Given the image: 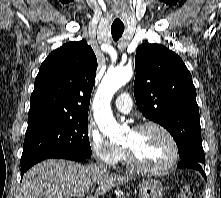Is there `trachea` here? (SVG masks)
Returning <instances> with one entry per match:
<instances>
[{
  "label": "trachea",
  "mask_w": 221,
  "mask_h": 198,
  "mask_svg": "<svg viewBox=\"0 0 221 198\" xmlns=\"http://www.w3.org/2000/svg\"><path fill=\"white\" fill-rule=\"evenodd\" d=\"M124 27H111V34L114 41H117L123 34Z\"/></svg>",
  "instance_id": "1"
}]
</instances>
